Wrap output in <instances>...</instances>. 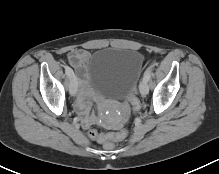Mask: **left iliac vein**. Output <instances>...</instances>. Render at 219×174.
I'll return each mask as SVG.
<instances>
[{"label": "left iliac vein", "mask_w": 219, "mask_h": 174, "mask_svg": "<svg viewBox=\"0 0 219 174\" xmlns=\"http://www.w3.org/2000/svg\"><path fill=\"white\" fill-rule=\"evenodd\" d=\"M139 91H140V94L145 96L147 95L148 93V84H147V81L146 80H142L140 85H139Z\"/></svg>", "instance_id": "1"}]
</instances>
